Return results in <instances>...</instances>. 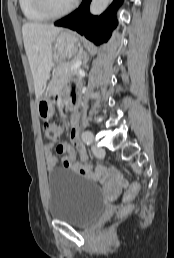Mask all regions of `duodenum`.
<instances>
[{
  "instance_id": "obj_1",
  "label": "duodenum",
  "mask_w": 174,
  "mask_h": 258,
  "mask_svg": "<svg viewBox=\"0 0 174 258\" xmlns=\"http://www.w3.org/2000/svg\"><path fill=\"white\" fill-rule=\"evenodd\" d=\"M68 106L71 111H73L78 106V97H70L68 101Z\"/></svg>"
}]
</instances>
